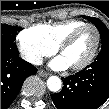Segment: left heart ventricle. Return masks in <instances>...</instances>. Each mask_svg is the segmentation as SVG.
<instances>
[{"instance_id":"b2bd125f","label":"left heart ventricle","mask_w":109,"mask_h":109,"mask_svg":"<svg viewBox=\"0 0 109 109\" xmlns=\"http://www.w3.org/2000/svg\"><path fill=\"white\" fill-rule=\"evenodd\" d=\"M96 42V33L93 28H86L77 37L76 41L62 53V57L71 65L83 62L92 52Z\"/></svg>"}]
</instances>
